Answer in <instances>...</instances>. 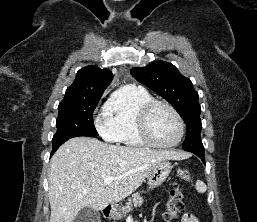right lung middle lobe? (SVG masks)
I'll return each mask as SVG.
<instances>
[{
  "instance_id": "1",
  "label": "right lung middle lobe",
  "mask_w": 257,
  "mask_h": 222,
  "mask_svg": "<svg viewBox=\"0 0 257 222\" xmlns=\"http://www.w3.org/2000/svg\"><path fill=\"white\" fill-rule=\"evenodd\" d=\"M101 96L62 100L58 106L57 132L53 136V148L61 146L73 137H96L93 111Z\"/></svg>"
}]
</instances>
